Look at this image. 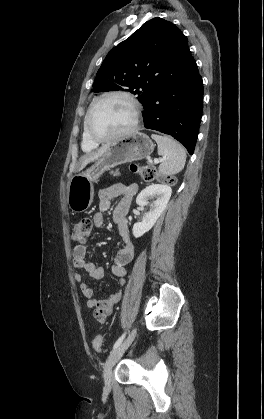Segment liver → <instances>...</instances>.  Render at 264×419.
<instances>
[{"label":"liver","instance_id":"1","mask_svg":"<svg viewBox=\"0 0 264 419\" xmlns=\"http://www.w3.org/2000/svg\"><path fill=\"white\" fill-rule=\"evenodd\" d=\"M108 148H109V144H105L100 149H98L96 152L85 155L82 158V163H81V166H80V170L85 168V166L87 164H89L90 162H92V161L98 159L99 157H101L107 151Z\"/></svg>","mask_w":264,"mask_h":419}]
</instances>
